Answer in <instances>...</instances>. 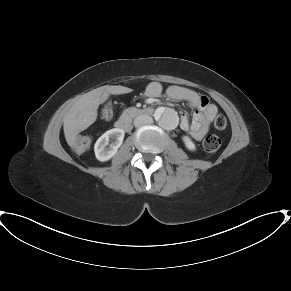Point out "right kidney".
I'll list each match as a JSON object with an SVG mask.
<instances>
[{
    "label": "right kidney",
    "instance_id": "obj_1",
    "mask_svg": "<svg viewBox=\"0 0 291 291\" xmlns=\"http://www.w3.org/2000/svg\"><path fill=\"white\" fill-rule=\"evenodd\" d=\"M125 132L120 128L106 131L95 143V156L99 161L111 159L122 145Z\"/></svg>",
    "mask_w": 291,
    "mask_h": 291
}]
</instances>
